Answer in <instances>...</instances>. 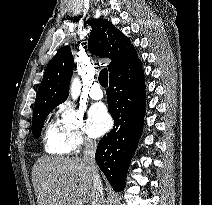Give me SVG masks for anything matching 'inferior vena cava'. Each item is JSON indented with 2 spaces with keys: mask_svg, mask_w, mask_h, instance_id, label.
Here are the masks:
<instances>
[{
  "mask_svg": "<svg viewBox=\"0 0 212 205\" xmlns=\"http://www.w3.org/2000/svg\"><path fill=\"white\" fill-rule=\"evenodd\" d=\"M96 148L97 143L94 140L88 137L85 138L82 160L87 163L93 171L94 195L91 205H105L103 186L95 161Z\"/></svg>",
  "mask_w": 212,
  "mask_h": 205,
  "instance_id": "obj_1",
  "label": "inferior vena cava"
}]
</instances>
